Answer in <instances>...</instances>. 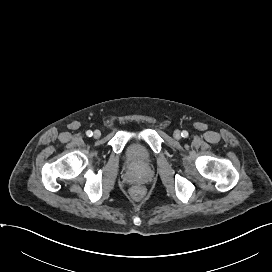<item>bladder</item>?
<instances>
[{"label": "bladder", "mask_w": 272, "mask_h": 272, "mask_svg": "<svg viewBox=\"0 0 272 272\" xmlns=\"http://www.w3.org/2000/svg\"><path fill=\"white\" fill-rule=\"evenodd\" d=\"M127 158L129 163L135 166H144L148 162L147 154L139 146L130 147Z\"/></svg>", "instance_id": "bladder-1"}]
</instances>
